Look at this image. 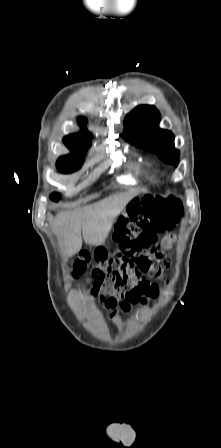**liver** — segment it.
<instances>
[{"label": "liver", "instance_id": "1", "mask_svg": "<svg viewBox=\"0 0 221 448\" xmlns=\"http://www.w3.org/2000/svg\"><path fill=\"white\" fill-rule=\"evenodd\" d=\"M135 196L133 192L121 193L73 212L59 213L52 228L60 246L69 256L76 254L82 247L81 232L86 244L104 245L115 218Z\"/></svg>", "mask_w": 221, "mask_h": 448}]
</instances>
